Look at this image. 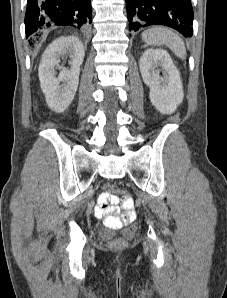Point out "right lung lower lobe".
I'll use <instances>...</instances> for the list:
<instances>
[{
    "instance_id": "right-lung-lower-lobe-1",
    "label": "right lung lower lobe",
    "mask_w": 227,
    "mask_h": 298,
    "mask_svg": "<svg viewBox=\"0 0 227 298\" xmlns=\"http://www.w3.org/2000/svg\"><path fill=\"white\" fill-rule=\"evenodd\" d=\"M91 0H28L26 37L42 28L68 25L84 29L92 21Z\"/></svg>"
}]
</instances>
